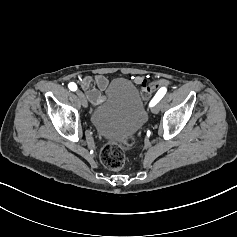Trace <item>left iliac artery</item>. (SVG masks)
<instances>
[{"mask_svg": "<svg viewBox=\"0 0 237 237\" xmlns=\"http://www.w3.org/2000/svg\"><path fill=\"white\" fill-rule=\"evenodd\" d=\"M167 89L165 87H162L158 90V92L156 93V95L154 96V98L151 100L149 106L152 107L154 105H156L162 98L163 96L166 94Z\"/></svg>", "mask_w": 237, "mask_h": 237, "instance_id": "left-iliac-artery-1", "label": "left iliac artery"}]
</instances>
